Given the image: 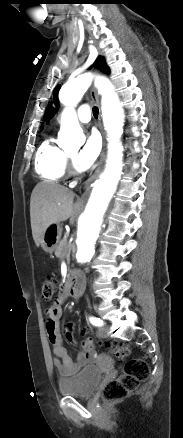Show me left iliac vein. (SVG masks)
Returning a JSON list of instances; mask_svg holds the SVG:
<instances>
[{
    "label": "left iliac vein",
    "mask_w": 183,
    "mask_h": 438,
    "mask_svg": "<svg viewBox=\"0 0 183 438\" xmlns=\"http://www.w3.org/2000/svg\"><path fill=\"white\" fill-rule=\"evenodd\" d=\"M107 332H108V328L105 326H102L98 329V335L101 338H107L108 337Z\"/></svg>",
    "instance_id": "1"
}]
</instances>
